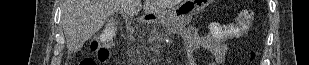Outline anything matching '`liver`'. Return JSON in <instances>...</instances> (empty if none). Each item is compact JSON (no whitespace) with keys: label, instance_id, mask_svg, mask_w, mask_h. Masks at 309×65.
I'll use <instances>...</instances> for the list:
<instances>
[{"label":"liver","instance_id":"liver-1","mask_svg":"<svg viewBox=\"0 0 309 65\" xmlns=\"http://www.w3.org/2000/svg\"><path fill=\"white\" fill-rule=\"evenodd\" d=\"M62 0V24L67 49L82 48L115 12L138 15L141 8L146 14H160L179 4L181 0Z\"/></svg>","mask_w":309,"mask_h":65}]
</instances>
